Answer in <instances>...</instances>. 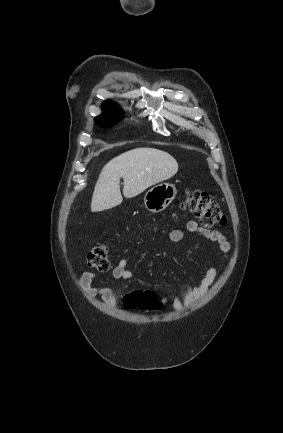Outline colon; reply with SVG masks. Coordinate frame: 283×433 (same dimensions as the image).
Instances as JSON below:
<instances>
[{
    "label": "colon",
    "instance_id": "5ec220e1",
    "mask_svg": "<svg viewBox=\"0 0 283 433\" xmlns=\"http://www.w3.org/2000/svg\"><path fill=\"white\" fill-rule=\"evenodd\" d=\"M183 207L206 227L223 226L227 223L219 204L207 192L198 189L186 191ZM86 263L101 272L109 270L111 260L107 244L101 243L93 247L86 255ZM124 307L132 310L155 311L161 309L162 302L152 291L137 290L124 297Z\"/></svg>",
    "mask_w": 283,
    "mask_h": 433
}]
</instances>
